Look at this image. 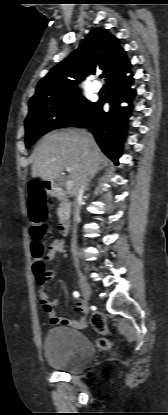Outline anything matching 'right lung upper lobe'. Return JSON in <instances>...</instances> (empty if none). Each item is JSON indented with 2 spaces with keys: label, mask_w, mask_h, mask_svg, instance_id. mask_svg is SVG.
Segmentation results:
<instances>
[{
  "label": "right lung upper lobe",
  "mask_w": 168,
  "mask_h": 415,
  "mask_svg": "<svg viewBox=\"0 0 168 415\" xmlns=\"http://www.w3.org/2000/svg\"><path fill=\"white\" fill-rule=\"evenodd\" d=\"M130 65L118 39L104 29H93L86 35L80 47L68 58L54 66L40 80L29 109L79 92L77 84L86 75L103 70L106 80Z\"/></svg>",
  "instance_id": "obj_1"
}]
</instances>
